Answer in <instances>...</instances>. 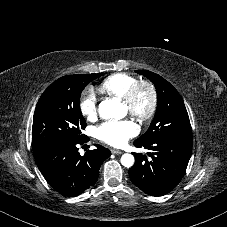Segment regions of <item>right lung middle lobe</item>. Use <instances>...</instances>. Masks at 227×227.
Masks as SVG:
<instances>
[{
    "instance_id": "right-lung-middle-lobe-1",
    "label": "right lung middle lobe",
    "mask_w": 227,
    "mask_h": 227,
    "mask_svg": "<svg viewBox=\"0 0 227 227\" xmlns=\"http://www.w3.org/2000/svg\"><path fill=\"white\" fill-rule=\"evenodd\" d=\"M102 74L67 75L53 82L40 97L33 120L32 149L51 142H79L86 127L80 110L85 86Z\"/></svg>"
}]
</instances>
